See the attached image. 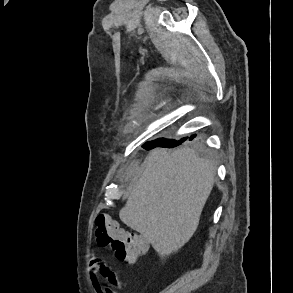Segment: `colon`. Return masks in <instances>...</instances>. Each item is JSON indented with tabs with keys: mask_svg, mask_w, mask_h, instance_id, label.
I'll return each instance as SVG.
<instances>
[{
	"mask_svg": "<svg viewBox=\"0 0 293 293\" xmlns=\"http://www.w3.org/2000/svg\"><path fill=\"white\" fill-rule=\"evenodd\" d=\"M95 238L99 245L109 248L116 258L135 263L146 251L147 240L139 233L122 230L108 214L95 218Z\"/></svg>",
	"mask_w": 293,
	"mask_h": 293,
	"instance_id": "5ec220e1",
	"label": "colon"
}]
</instances>
